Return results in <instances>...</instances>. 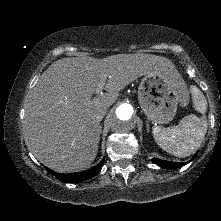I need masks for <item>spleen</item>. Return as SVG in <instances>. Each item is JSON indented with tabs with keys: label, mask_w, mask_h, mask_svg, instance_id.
I'll return each instance as SVG.
<instances>
[{
	"label": "spleen",
	"mask_w": 221,
	"mask_h": 221,
	"mask_svg": "<svg viewBox=\"0 0 221 221\" xmlns=\"http://www.w3.org/2000/svg\"><path fill=\"white\" fill-rule=\"evenodd\" d=\"M190 92L195 110L204 114L207 109V101L203 93L196 86H191ZM206 132V119L193 114L184 117L175 127L155 126L152 129L157 144L166 152L177 157L191 155L200 146Z\"/></svg>",
	"instance_id": "1"
}]
</instances>
